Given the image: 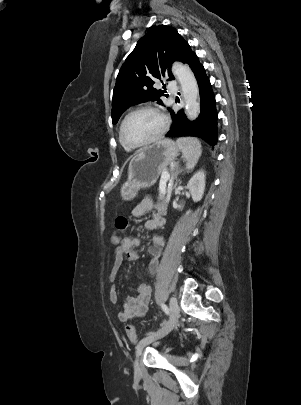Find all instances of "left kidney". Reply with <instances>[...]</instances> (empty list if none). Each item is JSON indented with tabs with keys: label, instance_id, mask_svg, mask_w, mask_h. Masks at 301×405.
I'll use <instances>...</instances> for the list:
<instances>
[{
	"label": "left kidney",
	"instance_id": "5707ae66",
	"mask_svg": "<svg viewBox=\"0 0 301 405\" xmlns=\"http://www.w3.org/2000/svg\"><path fill=\"white\" fill-rule=\"evenodd\" d=\"M187 188L189 189L194 202L202 199L205 190V172H197L188 182ZM190 210L186 213L189 214Z\"/></svg>",
	"mask_w": 301,
	"mask_h": 405
}]
</instances>
